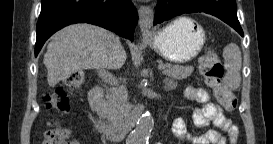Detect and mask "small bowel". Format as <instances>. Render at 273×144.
I'll list each match as a JSON object with an SVG mask.
<instances>
[{"instance_id": "1", "label": "small bowel", "mask_w": 273, "mask_h": 144, "mask_svg": "<svg viewBox=\"0 0 273 144\" xmlns=\"http://www.w3.org/2000/svg\"><path fill=\"white\" fill-rule=\"evenodd\" d=\"M187 97L200 103L193 113L194 125L207 130L200 135H192L188 132L185 121L176 118L172 124V132L178 141L188 144H224L227 135L231 143L236 142L237 127L226 117L224 110L211 101L205 89L191 87L187 91ZM210 126L212 128H209Z\"/></svg>"}]
</instances>
